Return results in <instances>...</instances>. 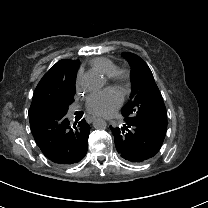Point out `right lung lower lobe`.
Instances as JSON below:
<instances>
[{
  "label": "right lung lower lobe",
  "instance_id": "1",
  "mask_svg": "<svg viewBox=\"0 0 208 208\" xmlns=\"http://www.w3.org/2000/svg\"><path fill=\"white\" fill-rule=\"evenodd\" d=\"M29 120L37 145L52 162L69 165L85 157L90 126L84 119L71 128L65 115H43L36 109L29 112Z\"/></svg>",
  "mask_w": 208,
  "mask_h": 208
}]
</instances>
